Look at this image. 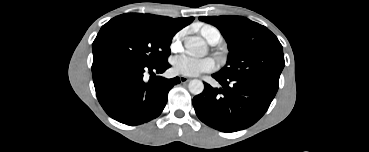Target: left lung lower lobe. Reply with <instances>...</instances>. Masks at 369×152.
<instances>
[{"mask_svg":"<svg viewBox=\"0 0 369 152\" xmlns=\"http://www.w3.org/2000/svg\"><path fill=\"white\" fill-rule=\"evenodd\" d=\"M222 88L204 83L192 100L198 118L222 132H236L256 123L267 111L279 82L261 78H227L212 75Z\"/></svg>","mask_w":369,"mask_h":152,"instance_id":"obj_1","label":"left lung lower lobe"}]
</instances>
